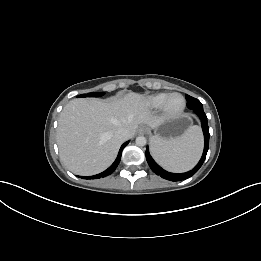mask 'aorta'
<instances>
[{
    "instance_id": "aorta-1",
    "label": "aorta",
    "mask_w": 261,
    "mask_h": 261,
    "mask_svg": "<svg viewBox=\"0 0 261 261\" xmlns=\"http://www.w3.org/2000/svg\"><path fill=\"white\" fill-rule=\"evenodd\" d=\"M146 143H147V140L144 136H138L136 138V145L137 146L143 147V146L146 145Z\"/></svg>"
}]
</instances>
